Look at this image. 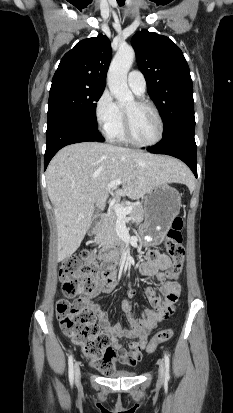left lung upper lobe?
I'll use <instances>...</instances> for the list:
<instances>
[{"label":"left lung upper lobe","instance_id":"left-lung-upper-lobe-1","mask_svg":"<svg viewBox=\"0 0 233 413\" xmlns=\"http://www.w3.org/2000/svg\"><path fill=\"white\" fill-rule=\"evenodd\" d=\"M140 71L160 110L164 134L178 126L195 127L193 86L187 61L168 37L142 30L132 37Z\"/></svg>","mask_w":233,"mask_h":413}]
</instances>
